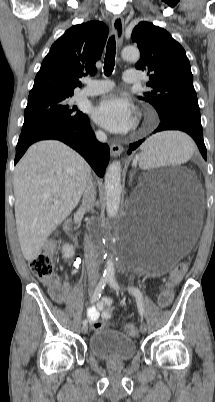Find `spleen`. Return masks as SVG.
<instances>
[{
    "instance_id": "3e777b00",
    "label": "spleen",
    "mask_w": 215,
    "mask_h": 402,
    "mask_svg": "<svg viewBox=\"0 0 215 402\" xmlns=\"http://www.w3.org/2000/svg\"><path fill=\"white\" fill-rule=\"evenodd\" d=\"M141 166L152 168L170 163H182L190 158L193 148L188 133L181 129L148 139L142 145Z\"/></svg>"
}]
</instances>
